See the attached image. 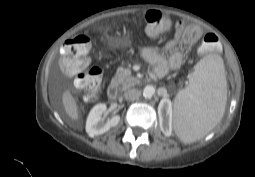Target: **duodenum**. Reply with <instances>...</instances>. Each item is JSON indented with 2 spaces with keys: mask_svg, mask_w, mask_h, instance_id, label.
Wrapping results in <instances>:
<instances>
[{
  "mask_svg": "<svg viewBox=\"0 0 255 177\" xmlns=\"http://www.w3.org/2000/svg\"><path fill=\"white\" fill-rule=\"evenodd\" d=\"M107 95L108 97L115 101L118 97V91H117V88L114 84H110L107 88Z\"/></svg>",
  "mask_w": 255,
  "mask_h": 177,
  "instance_id": "obj_1",
  "label": "duodenum"
}]
</instances>
